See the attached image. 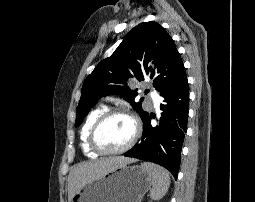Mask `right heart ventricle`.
<instances>
[{
  "mask_svg": "<svg viewBox=\"0 0 255 202\" xmlns=\"http://www.w3.org/2000/svg\"><path fill=\"white\" fill-rule=\"evenodd\" d=\"M106 110L107 109L105 105L98 106L97 108H95L93 111L90 112V114L87 116L85 122L82 125L81 131H80V144L84 154L90 158H96L99 156V154L93 151L89 145V142H88L89 132L92 125L97 120V118L100 115H102Z\"/></svg>",
  "mask_w": 255,
  "mask_h": 202,
  "instance_id": "right-heart-ventricle-1",
  "label": "right heart ventricle"
}]
</instances>
